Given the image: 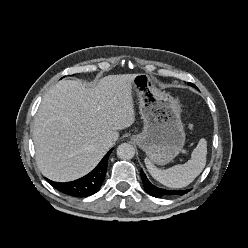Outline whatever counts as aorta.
I'll list each match as a JSON object with an SVG mask.
<instances>
[{"label": "aorta", "instance_id": "aorta-1", "mask_svg": "<svg viewBox=\"0 0 248 248\" xmlns=\"http://www.w3.org/2000/svg\"><path fill=\"white\" fill-rule=\"evenodd\" d=\"M117 155L119 158L124 160L132 159L135 155V149L128 143H123L117 148Z\"/></svg>", "mask_w": 248, "mask_h": 248}]
</instances>
